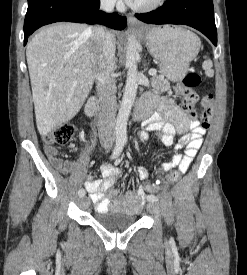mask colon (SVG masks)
<instances>
[{"mask_svg":"<svg viewBox=\"0 0 247 275\" xmlns=\"http://www.w3.org/2000/svg\"><path fill=\"white\" fill-rule=\"evenodd\" d=\"M201 83V77L196 72H188L183 79L178 83L176 92L181 100V105L190 117L196 116L195 106L199 100L196 88ZM202 114L201 122L203 128L210 127L214 113V98L212 94L205 95L201 100ZM75 134L73 125L65 124L55 127L44 136V142L52 145H64L72 140ZM180 176L178 170H174L167 175L166 184H174ZM145 193H155L160 189L159 183H145L142 185Z\"/></svg>","mask_w":247,"mask_h":275,"instance_id":"colon-1","label":"colon"}]
</instances>
